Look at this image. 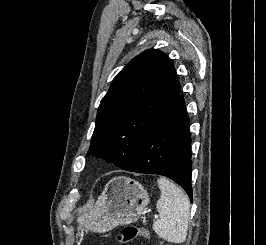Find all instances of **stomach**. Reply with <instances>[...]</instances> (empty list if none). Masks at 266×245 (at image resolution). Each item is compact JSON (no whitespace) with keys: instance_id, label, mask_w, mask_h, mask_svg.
Segmentation results:
<instances>
[{"instance_id":"obj_1","label":"stomach","mask_w":266,"mask_h":245,"mask_svg":"<svg viewBox=\"0 0 266 245\" xmlns=\"http://www.w3.org/2000/svg\"><path fill=\"white\" fill-rule=\"evenodd\" d=\"M149 203V195L141 183L129 177L108 181L96 205L88 215L78 217V231L108 233L119 225L136 223Z\"/></svg>"}]
</instances>
